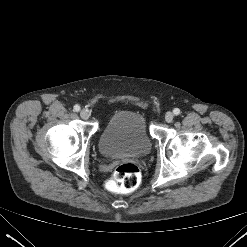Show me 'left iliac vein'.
<instances>
[{
	"instance_id": "1",
	"label": "left iliac vein",
	"mask_w": 247,
	"mask_h": 247,
	"mask_svg": "<svg viewBox=\"0 0 247 247\" xmlns=\"http://www.w3.org/2000/svg\"><path fill=\"white\" fill-rule=\"evenodd\" d=\"M174 119V114L172 112H167L165 115L166 122L170 123Z\"/></svg>"
}]
</instances>
